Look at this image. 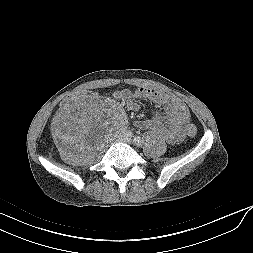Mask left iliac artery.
Returning a JSON list of instances; mask_svg holds the SVG:
<instances>
[{
  "instance_id": "44dca946",
  "label": "left iliac artery",
  "mask_w": 253,
  "mask_h": 253,
  "mask_svg": "<svg viewBox=\"0 0 253 253\" xmlns=\"http://www.w3.org/2000/svg\"><path fill=\"white\" fill-rule=\"evenodd\" d=\"M133 140H134V142H135L137 145H141V144H142V139H141V137H139V136H135Z\"/></svg>"
}]
</instances>
